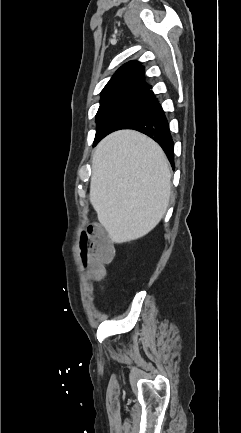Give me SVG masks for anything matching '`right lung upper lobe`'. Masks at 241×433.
<instances>
[{
  "label": "right lung upper lobe",
  "instance_id": "1",
  "mask_svg": "<svg viewBox=\"0 0 241 433\" xmlns=\"http://www.w3.org/2000/svg\"><path fill=\"white\" fill-rule=\"evenodd\" d=\"M153 96L151 86L144 81V67L138 61L121 66L101 93V100L118 96Z\"/></svg>",
  "mask_w": 241,
  "mask_h": 433
}]
</instances>
